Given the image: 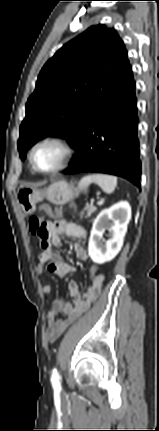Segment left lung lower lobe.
I'll return each mask as SVG.
<instances>
[{
	"instance_id": "obj_1",
	"label": "left lung lower lobe",
	"mask_w": 159,
	"mask_h": 431,
	"mask_svg": "<svg viewBox=\"0 0 159 431\" xmlns=\"http://www.w3.org/2000/svg\"><path fill=\"white\" fill-rule=\"evenodd\" d=\"M65 174L107 173L140 187L138 116L131 68L86 125Z\"/></svg>"
}]
</instances>
